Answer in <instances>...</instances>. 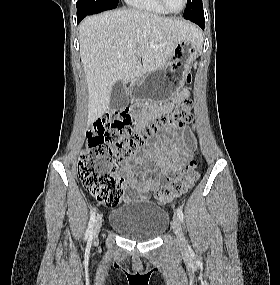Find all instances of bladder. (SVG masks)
<instances>
[{
    "label": "bladder",
    "mask_w": 280,
    "mask_h": 285,
    "mask_svg": "<svg viewBox=\"0 0 280 285\" xmlns=\"http://www.w3.org/2000/svg\"><path fill=\"white\" fill-rule=\"evenodd\" d=\"M167 212L149 201H129L115 208L109 225L121 236L136 240H153L168 227Z\"/></svg>",
    "instance_id": "31cf9c89"
}]
</instances>
